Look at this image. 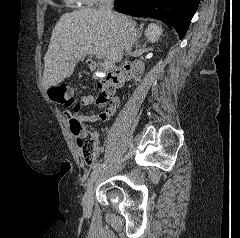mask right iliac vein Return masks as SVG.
<instances>
[{
  "label": "right iliac vein",
  "instance_id": "obj_1",
  "mask_svg": "<svg viewBox=\"0 0 240 238\" xmlns=\"http://www.w3.org/2000/svg\"><path fill=\"white\" fill-rule=\"evenodd\" d=\"M93 192H94V185L92 184L82 199L83 210L86 214H89L92 210L93 205Z\"/></svg>",
  "mask_w": 240,
  "mask_h": 238
}]
</instances>
